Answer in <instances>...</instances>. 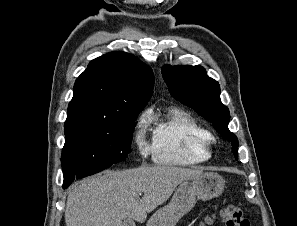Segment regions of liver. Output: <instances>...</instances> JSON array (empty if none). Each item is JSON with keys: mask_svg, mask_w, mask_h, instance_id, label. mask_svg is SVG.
Returning <instances> with one entry per match:
<instances>
[{"mask_svg": "<svg viewBox=\"0 0 297 226\" xmlns=\"http://www.w3.org/2000/svg\"><path fill=\"white\" fill-rule=\"evenodd\" d=\"M202 174L181 167L143 166L86 178L68 195L66 226H123L126 218L143 223L177 185ZM140 193L144 195L139 200Z\"/></svg>", "mask_w": 297, "mask_h": 226, "instance_id": "obj_1", "label": "liver"}]
</instances>
